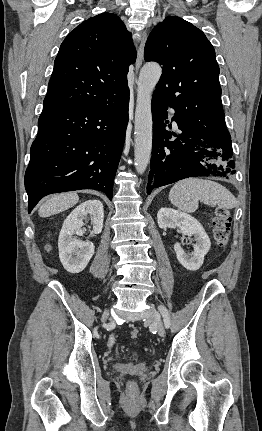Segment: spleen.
<instances>
[{
  "mask_svg": "<svg viewBox=\"0 0 262 431\" xmlns=\"http://www.w3.org/2000/svg\"><path fill=\"white\" fill-rule=\"evenodd\" d=\"M169 200L179 210L187 213L197 210L199 200L207 205L217 204L225 209H232L237 203L227 188L217 182L201 178L178 181L169 192Z\"/></svg>",
  "mask_w": 262,
  "mask_h": 431,
  "instance_id": "1",
  "label": "spleen"
}]
</instances>
